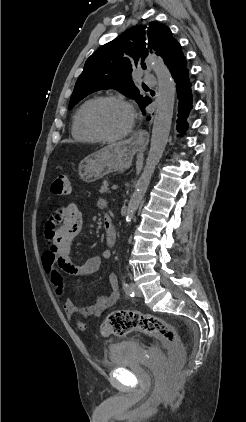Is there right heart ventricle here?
Segmentation results:
<instances>
[{"mask_svg":"<svg viewBox=\"0 0 246 422\" xmlns=\"http://www.w3.org/2000/svg\"><path fill=\"white\" fill-rule=\"evenodd\" d=\"M93 100L94 99H88L82 103L75 111L72 119V135L80 142L93 143L97 141L96 138L87 130L84 123L85 110Z\"/></svg>","mask_w":246,"mask_h":422,"instance_id":"obj_1","label":"right heart ventricle"}]
</instances>
